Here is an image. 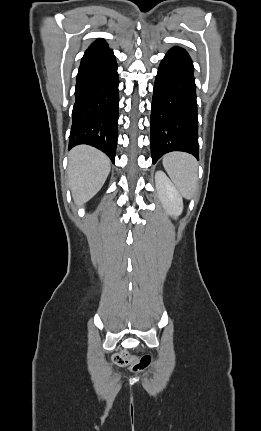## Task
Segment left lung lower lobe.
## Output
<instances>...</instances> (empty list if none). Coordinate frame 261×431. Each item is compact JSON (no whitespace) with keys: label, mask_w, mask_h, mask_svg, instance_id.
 <instances>
[{"label":"left lung lower lobe","mask_w":261,"mask_h":431,"mask_svg":"<svg viewBox=\"0 0 261 431\" xmlns=\"http://www.w3.org/2000/svg\"><path fill=\"white\" fill-rule=\"evenodd\" d=\"M193 63L180 47L169 50L158 69L151 109L152 162L183 151L199 159L198 116Z\"/></svg>","instance_id":"1"}]
</instances>
